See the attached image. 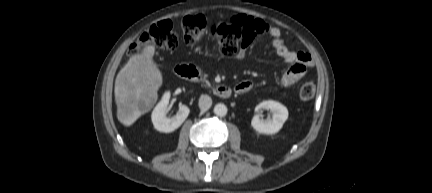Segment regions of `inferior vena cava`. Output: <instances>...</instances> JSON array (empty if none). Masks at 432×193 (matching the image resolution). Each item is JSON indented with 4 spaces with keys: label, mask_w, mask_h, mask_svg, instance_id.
Returning <instances> with one entry per match:
<instances>
[{
    "label": "inferior vena cava",
    "mask_w": 432,
    "mask_h": 193,
    "mask_svg": "<svg viewBox=\"0 0 432 193\" xmlns=\"http://www.w3.org/2000/svg\"><path fill=\"white\" fill-rule=\"evenodd\" d=\"M211 105H212V99H211L210 96H208V95H202L199 98V107H200L201 110L206 111V110H208L211 107Z\"/></svg>",
    "instance_id": "1"
}]
</instances>
